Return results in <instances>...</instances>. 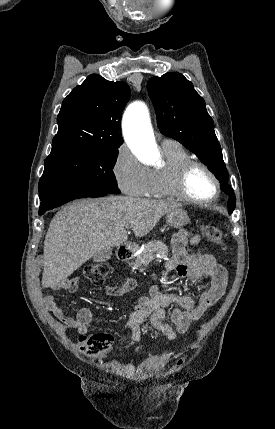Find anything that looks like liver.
I'll list each match as a JSON object with an SVG mask.
<instances>
[{
	"label": "liver",
	"instance_id": "1",
	"mask_svg": "<svg viewBox=\"0 0 275 429\" xmlns=\"http://www.w3.org/2000/svg\"><path fill=\"white\" fill-rule=\"evenodd\" d=\"M180 204L128 196L83 199L55 214L44 241L42 286L57 288L86 261L108 247L147 235L158 221Z\"/></svg>",
	"mask_w": 275,
	"mask_h": 429
}]
</instances>
